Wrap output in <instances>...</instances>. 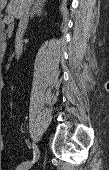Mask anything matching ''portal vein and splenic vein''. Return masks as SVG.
Wrapping results in <instances>:
<instances>
[{
	"mask_svg": "<svg viewBox=\"0 0 109 170\" xmlns=\"http://www.w3.org/2000/svg\"><path fill=\"white\" fill-rule=\"evenodd\" d=\"M14 20V16L12 13L8 12V15L4 17L3 22L4 23H11Z\"/></svg>",
	"mask_w": 109,
	"mask_h": 170,
	"instance_id": "portal-vein-and-splenic-vein-1",
	"label": "portal vein and splenic vein"
}]
</instances>
